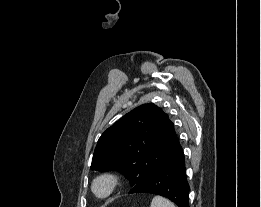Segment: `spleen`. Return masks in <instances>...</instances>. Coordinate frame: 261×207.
<instances>
[{
  "instance_id": "obj_1",
  "label": "spleen",
  "mask_w": 261,
  "mask_h": 207,
  "mask_svg": "<svg viewBox=\"0 0 261 207\" xmlns=\"http://www.w3.org/2000/svg\"><path fill=\"white\" fill-rule=\"evenodd\" d=\"M150 207H176V206L171 201H169L164 197L155 196L152 199Z\"/></svg>"
}]
</instances>
